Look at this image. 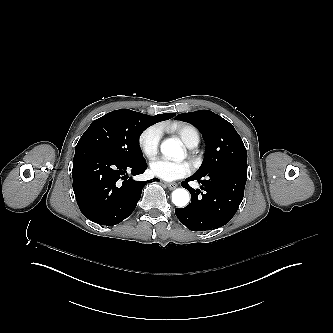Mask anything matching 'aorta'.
I'll use <instances>...</instances> for the list:
<instances>
[{"instance_id":"aorta-1","label":"aorta","mask_w":333,"mask_h":333,"mask_svg":"<svg viewBox=\"0 0 333 333\" xmlns=\"http://www.w3.org/2000/svg\"><path fill=\"white\" fill-rule=\"evenodd\" d=\"M181 141L166 139L160 145L161 153L166 157L179 158L183 154ZM172 202L178 207H184L189 202V192L184 188H177L172 192Z\"/></svg>"}]
</instances>
